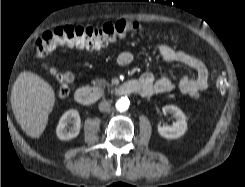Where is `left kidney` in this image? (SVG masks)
I'll list each match as a JSON object with an SVG mask.
<instances>
[{
  "mask_svg": "<svg viewBox=\"0 0 245 187\" xmlns=\"http://www.w3.org/2000/svg\"><path fill=\"white\" fill-rule=\"evenodd\" d=\"M164 114H172L176 121L171 126L158 125V133L166 139H177L183 136L187 130L185 114L174 105H166L162 108Z\"/></svg>",
  "mask_w": 245,
  "mask_h": 187,
  "instance_id": "obj_1",
  "label": "left kidney"
}]
</instances>
